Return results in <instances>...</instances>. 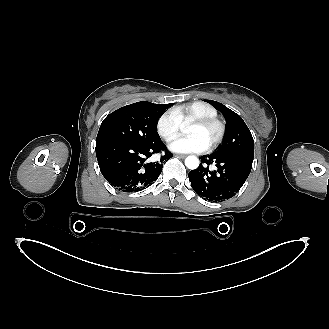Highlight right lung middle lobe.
Returning a JSON list of instances; mask_svg holds the SVG:
<instances>
[{
    "label": "right lung middle lobe",
    "instance_id": "dd1d6c3e",
    "mask_svg": "<svg viewBox=\"0 0 329 329\" xmlns=\"http://www.w3.org/2000/svg\"><path fill=\"white\" fill-rule=\"evenodd\" d=\"M172 105L137 102L109 114L102 122L97 141L114 139L138 144L160 141L157 122L160 115Z\"/></svg>",
    "mask_w": 329,
    "mask_h": 329
}]
</instances>
